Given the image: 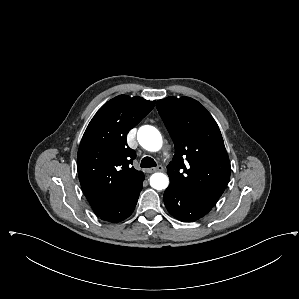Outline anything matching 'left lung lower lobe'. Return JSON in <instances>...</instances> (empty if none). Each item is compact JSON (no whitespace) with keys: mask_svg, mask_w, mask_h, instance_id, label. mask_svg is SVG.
I'll return each instance as SVG.
<instances>
[{"mask_svg":"<svg viewBox=\"0 0 299 299\" xmlns=\"http://www.w3.org/2000/svg\"><path fill=\"white\" fill-rule=\"evenodd\" d=\"M163 199L169 213L183 222L196 221L212 209V206L171 183L166 189Z\"/></svg>","mask_w":299,"mask_h":299,"instance_id":"left-lung-lower-lobe-1","label":"left lung lower lobe"}]
</instances>
